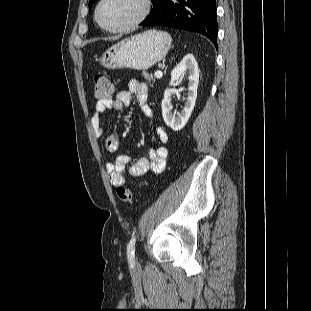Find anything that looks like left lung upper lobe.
<instances>
[{
  "mask_svg": "<svg viewBox=\"0 0 311 311\" xmlns=\"http://www.w3.org/2000/svg\"><path fill=\"white\" fill-rule=\"evenodd\" d=\"M96 0H89V9L92 7L93 3L95 2Z\"/></svg>",
  "mask_w": 311,
  "mask_h": 311,
  "instance_id": "left-lung-upper-lobe-1",
  "label": "left lung upper lobe"
}]
</instances>
